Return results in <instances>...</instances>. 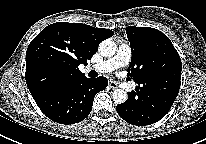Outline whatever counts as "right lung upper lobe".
I'll use <instances>...</instances> for the list:
<instances>
[{"instance_id":"obj_1","label":"right lung upper lobe","mask_w":206,"mask_h":144,"mask_svg":"<svg viewBox=\"0 0 206 144\" xmlns=\"http://www.w3.org/2000/svg\"><path fill=\"white\" fill-rule=\"evenodd\" d=\"M113 34L82 23L59 22L45 27L26 52L25 78L32 97L85 79L78 66L87 64L99 43Z\"/></svg>"}]
</instances>
